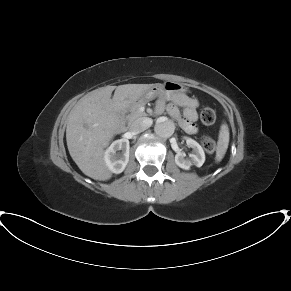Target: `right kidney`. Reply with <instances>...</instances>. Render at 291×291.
I'll return each instance as SVG.
<instances>
[{"instance_id": "obj_1", "label": "right kidney", "mask_w": 291, "mask_h": 291, "mask_svg": "<svg viewBox=\"0 0 291 291\" xmlns=\"http://www.w3.org/2000/svg\"><path fill=\"white\" fill-rule=\"evenodd\" d=\"M129 149L130 146L127 139L116 140L107 148L104 160L111 172L119 174L124 171L129 162Z\"/></svg>"}]
</instances>
